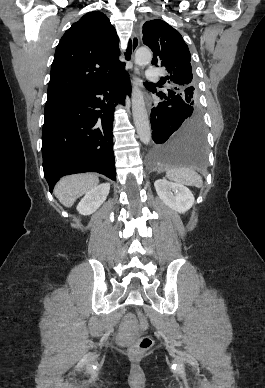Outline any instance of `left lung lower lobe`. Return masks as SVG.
I'll list each match as a JSON object with an SVG mask.
<instances>
[{"label": "left lung lower lobe", "instance_id": "obj_1", "mask_svg": "<svg viewBox=\"0 0 265 388\" xmlns=\"http://www.w3.org/2000/svg\"><path fill=\"white\" fill-rule=\"evenodd\" d=\"M157 95L163 101L151 112V164L202 169L206 163V136L199 108L189 106L171 92Z\"/></svg>", "mask_w": 265, "mask_h": 388}]
</instances>
